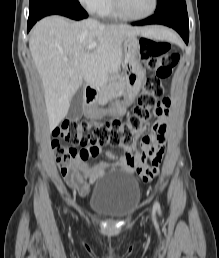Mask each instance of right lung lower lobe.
<instances>
[{
  "instance_id": "98d812e1",
  "label": "right lung lower lobe",
  "mask_w": 219,
  "mask_h": 258,
  "mask_svg": "<svg viewBox=\"0 0 219 258\" xmlns=\"http://www.w3.org/2000/svg\"><path fill=\"white\" fill-rule=\"evenodd\" d=\"M54 14L63 15L74 20H81L88 17V14L80 6L78 1L62 0L44 6L34 14L29 15L27 31H29L32 26L41 18Z\"/></svg>"
}]
</instances>
